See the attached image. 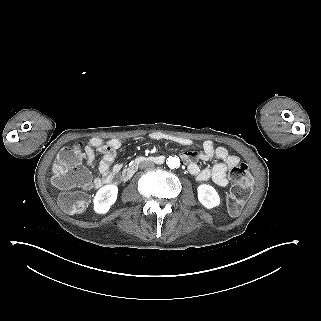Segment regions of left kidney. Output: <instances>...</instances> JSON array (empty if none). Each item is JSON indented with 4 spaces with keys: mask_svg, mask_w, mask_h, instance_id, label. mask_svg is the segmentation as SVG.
Wrapping results in <instances>:
<instances>
[{
    "mask_svg": "<svg viewBox=\"0 0 321 321\" xmlns=\"http://www.w3.org/2000/svg\"><path fill=\"white\" fill-rule=\"evenodd\" d=\"M197 191L200 203L206 208L211 209L220 204L219 195L212 186L202 184L198 187Z\"/></svg>",
    "mask_w": 321,
    "mask_h": 321,
    "instance_id": "5707ae66",
    "label": "left kidney"
}]
</instances>
